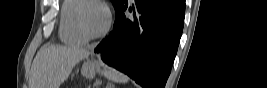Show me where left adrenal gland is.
<instances>
[{"label": "left adrenal gland", "instance_id": "1", "mask_svg": "<svg viewBox=\"0 0 267 88\" xmlns=\"http://www.w3.org/2000/svg\"><path fill=\"white\" fill-rule=\"evenodd\" d=\"M97 85H99L98 82L94 84V86H97ZM106 88H112V85L110 83H108L107 86H106Z\"/></svg>", "mask_w": 267, "mask_h": 88}]
</instances>
